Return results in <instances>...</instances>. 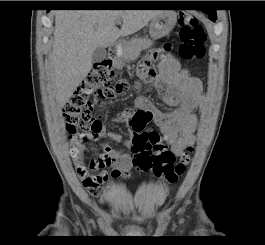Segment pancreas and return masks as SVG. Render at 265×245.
Instances as JSON below:
<instances>
[{
    "label": "pancreas",
    "instance_id": "cf45deb5",
    "mask_svg": "<svg viewBox=\"0 0 265 245\" xmlns=\"http://www.w3.org/2000/svg\"><path fill=\"white\" fill-rule=\"evenodd\" d=\"M153 41L143 38V39H131L127 43L122 57L114 61V66L116 68H123L126 62L134 61L140 55L141 50L151 47Z\"/></svg>",
    "mask_w": 265,
    "mask_h": 245
}]
</instances>
